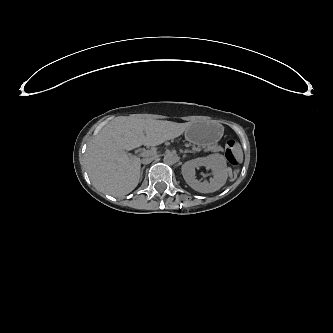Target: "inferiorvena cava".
<instances>
[{
	"label": "inferior vena cava",
	"mask_w": 333,
	"mask_h": 333,
	"mask_svg": "<svg viewBox=\"0 0 333 333\" xmlns=\"http://www.w3.org/2000/svg\"><path fill=\"white\" fill-rule=\"evenodd\" d=\"M155 158H156V156H151V157H149V158H145V159L142 160V163H143V164H149V163H151Z\"/></svg>",
	"instance_id": "1"
}]
</instances>
